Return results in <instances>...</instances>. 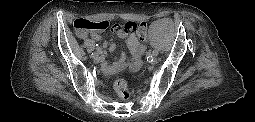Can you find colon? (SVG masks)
Segmentation results:
<instances>
[{
    "label": "colon",
    "mask_w": 255,
    "mask_h": 122,
    "mask_svg": "<svg viewBox=\"0 0 255 122\" xmlns=\"http://www.w3.org/2000/svg\"><path fill=\"white\" fill-rule=\"evenodd\" d=\"M110 27V23L105 20H89L85 18L76 19L73 23V28L76 34L80 37L85 36L91 31H104ZM113 28H124L127 32H136L140 39H144L146 35L145 27L142 24H138L133 21H128L125 24L112 25ZM114 89L118 97L127 101L130 99L131 93L128 89L127 83L119 79L114 83Z\"/></svg>",
    "instance_id": "1"
}]
</instances>
